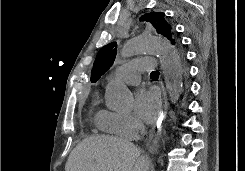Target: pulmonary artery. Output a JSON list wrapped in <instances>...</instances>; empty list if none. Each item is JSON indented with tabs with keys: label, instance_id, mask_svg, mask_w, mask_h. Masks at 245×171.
I'll use <instances>...</instances> for the list:
<instances>
[{
	"label": "pulmonary artery",
	"instance_id": "1",
	"mask_svg": "<svg viewBox=\"0 0 245 171\" xmlns=\"http://www.w3.org/2000/svg\"><path fill=\"white\" fill-rule=\"evenodd\" d=\"M155 60L154 57H144L129 61L119 66L112 77L126 83L136 84L139 81L141 73L152 70Z\"/></svg>",
	"mask_w": 245,
	"mask_h": 171
}]
</instances>
